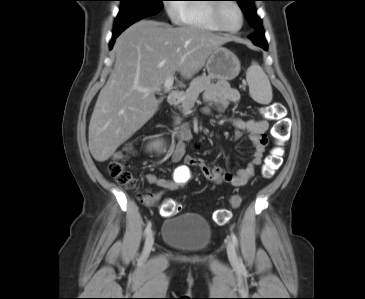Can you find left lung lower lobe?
<instances>
[{
    "label": "left lung lower lobe",
    "mask_w": 365,
    "mask_h": 299,
    "mask_svg": "<svg viewBox=\"0 0 365 299\" xmlns=\"http://www.w3.org/2000/svg\"><path fill=\"white\" fill-rule=\"evenodd\" d=\"M250 39L252 40V42L259 46L262 47L264 50L268 49V44L267 41L265 39L264 36V30H257L251 37Z\"/></svg>",
    "instance_id": "obj_1"
}]
</instances>
